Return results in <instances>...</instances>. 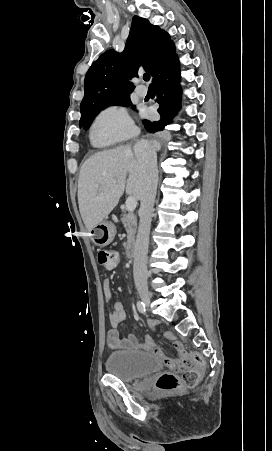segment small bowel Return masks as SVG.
<instances>
[{"label": "small bowel", "instance_id": "1", "mask_svg": "<svg viewBox=\"0 0 272 451\" xmlns=\"http://www.w3.org/2000/svg\"><path fill=\"white\" fill-rule=\"evenodd\" d=\"M103 292L105 298L108 301L112 300L113 292L111 286V280L109 277H104L102 281ZM126 319V312L122 302L115 301L113 303V309L109 316V322L111 328L107 332V344L111 349H126L132 348L135 350H145L151 351L156 356L160 357L161 352L163 350L156 346L154 343V339L151 335H145L144 341L140 343L135 335L129 334L126 337H121L118 327L120 324ZM165 337L172 340L173 348H185L183 343L176 338V336L172 332H166Z\"/></svg>", "mask_w": 272, "mask_h": 451}]
</instances>
